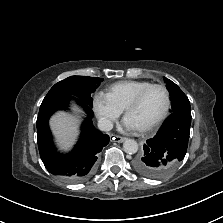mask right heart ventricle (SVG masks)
<instances>
[{
    "mask_svg": "<svg viewBox=\"0 0 223 223\" xmlns=\"http://www.w3.org/2000/svg\"><path fill=\"white\" fill-rule=\"evenodd\" d=\"M152 83L143 80L119 81L107 89V97L123 111L129 102L145 87Z\"/></svg>",
    "mask_w": 223,
    "mask_h": 223,
    "instance_id": "1",
    "label": "right heart ventricle"
}]
</instances>
